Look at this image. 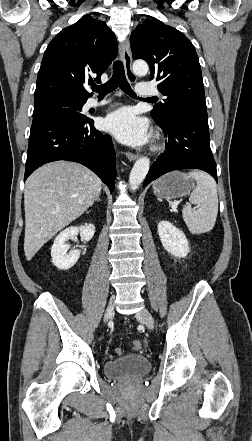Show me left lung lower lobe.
Returning a JSON list of instances; mask_svg holds the SVG:
<instances>
[{"mask_svg": "<svg viewBox=\"0 0 252 441\" xmlns=\"http://www.w3.org/2000/svg\"><path fill=\"white\" fill-rule=\"evenodd\" d=\"M156 123L166 134V151L152 164L143 186L179 169H200L217 181L206 114L185 109L172 116L168 123Z\"/></svg>", "mask_w": 252, "mask_h": 441, "instance_id": "obj_1", "label": "left lung lower lobe"}]
</instances>
